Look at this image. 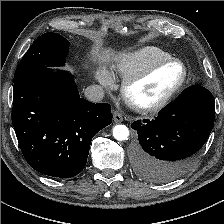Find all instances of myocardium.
I'll return each mask as SVG.
<instances>
[{"label":"myocardium","mask_w":224,"mask_h":224,"mask_svg":"<svg viewBox=\"0 0 224 224\" xmlns=\"http://www.w3.org/2000/svg\"><path fill=\"white\" fill-rule=\"evenodd\" d=\"M169 64H177L182 69V75L180 80L174 85V87L159 101L151 104V105H140L137 102H135L131 96V89L138 84L139 82L145 80L149 76H151L155 71L158 69L169 65ZM188 79V69L186 65L176 59V58H167L163 60H159L157 62H154L153 64L146 67L144 70H142L139 73H136L134 75H131L127 78H125L123 86H122V95L124 97V100L126 103L135 111L142 113V114H149L157 112L164 107H166L173 99L174 97L181 91V89L184 87L185 83Z\"/></svg>","instance_id":"myocardium-1"}]
</instances>
